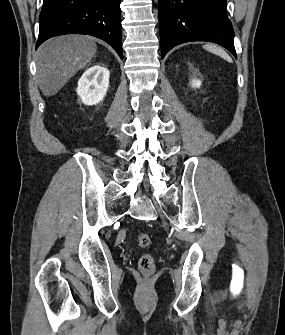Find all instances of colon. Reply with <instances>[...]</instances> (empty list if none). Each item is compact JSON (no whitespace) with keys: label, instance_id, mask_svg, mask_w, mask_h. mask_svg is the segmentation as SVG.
Wrapping results in <instances>:
<instances>
[{"label":"colon","instance_id":"5ec220e1","mask_svg":"<svg viewBox=\"0 0 285 335\" xmlns=\"http://www.w3.org/2000/svg\"><path fill=\"white\" fill-rule=\"evenodd\" d=\"M137 242L141 247H147L151 243L150 236L146 233H140ZM139 268L143 274H152L155 270V259L151 254H144L139 260Z\"/></svg>","mask_w":285,"mask_h":335}]
</instances>
